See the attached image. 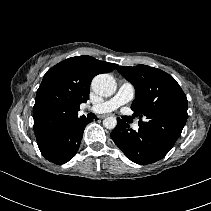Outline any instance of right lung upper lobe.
Listing matches in <instances>:
<instances>
[{
    "label": "right lung upper lobe",
    "mask_w": 211,
    "mask_h": 211,
    "mask_svg": "<svg viewBox=\"0 0 211 211\" xmlns=\"http://www.w3.org/2000/svg\"><path fill=\"white\" fill-rule=\"evenodd\" d=\"M117 66L82 55L68 58L49 69L37 90L33 107L36 139L78 119L80 104L89 99L93 77Z\"/></svg>",
    "instance_id": "obj_1"
}]
</instances>
